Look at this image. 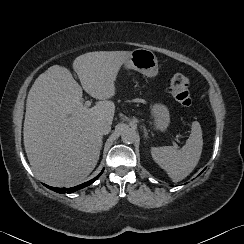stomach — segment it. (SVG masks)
Wrapping results in <instances>:
<instances>
[{"mask_svg":"<svg viewBox=\"0 0 244 244\" xmlns=\"http://www.w3.org/2000/svg\"><path fill=\"white\" fill-rule=\"evenodd\" d=\"M126 68L134 69L148 77L158 73V60L156 55L148 49L138 48L131 51L129 58L124 63ZM151 125L155 130L164 131L170 123V114L167 106L154 103L150 106Z\"/></svg>","mask_w":244,"mask_h":244,"instance_id":"obj_1","label":"stomach"}]
</instances>
